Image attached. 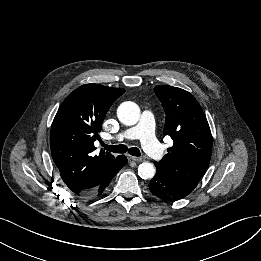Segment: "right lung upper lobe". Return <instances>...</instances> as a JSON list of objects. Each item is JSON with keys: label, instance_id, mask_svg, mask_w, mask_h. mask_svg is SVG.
I'll return each mask as SVG.
<instances>
[{"label": "right lung upper lobe", "instance_id": "obj_1", "mask_svg": "<svg viewBox=\"0 0 261 261\" xmlns=\"http://www.w3.org/2000/svg\"><path fill=\"white\" fill-rule=\"evenodd\" d=\"M125 92L98 84H85L61 104L53 120L50 146L53 161L67 187L78 197L97 187L119 157L100 151L94 141L111 104Z\"/></svg>", "mask_w": 261, "mask_h": 261}]
</instances>
